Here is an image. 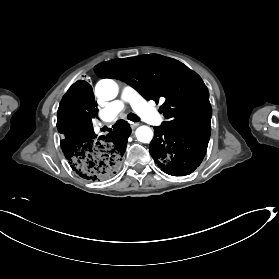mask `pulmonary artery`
Returning <instances> with one entry per match:
<instances>
[{
  "mask_svg": "<svg viewBox=\"0 0 279 279\" xmlns=\"http://www.w3.org/2000/svg\"><path fill=\"white\" fill-rule=\"evenodd\" d=\"M131 89L124 87L119 99H116L108 104V109L111 112V116H121L127 109V105L130 100Z\"/></svg>",
  "mask_w": 279,
  "mask_h": 279,
  "instance_id": "pulmonary-artery-1",
  "label": "pulmonary artery"
}]
</instances>
